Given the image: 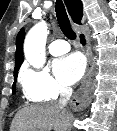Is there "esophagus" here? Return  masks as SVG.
<instances>
[{
    "instance_id": "1",
    "label": "esophagus",
    "mask_w": 117,
    "mask_h": 131,
    "mask_svg": "<svg viewBox=\"0 0 117 131\" xmlns=\"http://www.w3.org/2000/svg\"><path fill=\"white\" fill-rule=\"evenodd\" d=\"M86 54L88 57V69L86 75L84 77L82 86L77 90V92L74 94V96L70 101V105L74 111L83 110L91 102L89 83L92 77L93 60H92V53L88 46L86 48Z\"/></svg>"
}]
</instances>
